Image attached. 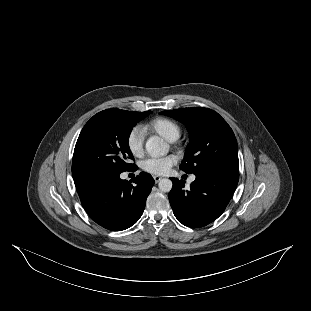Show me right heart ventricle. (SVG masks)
I'll return each mask as SVG.
<instances>
[{"label":"right heart ventricle","mask_w":311,"mask_h":311,"mask_svg":"<svg viewBox=\"0 0 311 311\" xmlns=\"http://www.w3.org/2000/svg\"><path fill=\"white\" fill-rule=\"evenodd\" d=\"M148 127L171 142L179 139L182 134L181 125L168 117L156 118L148 124Z\"/></svg>","instance_id":"e07e8e85"}]
</instances>
